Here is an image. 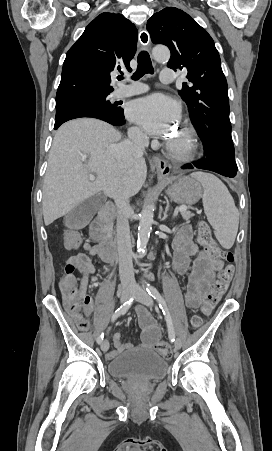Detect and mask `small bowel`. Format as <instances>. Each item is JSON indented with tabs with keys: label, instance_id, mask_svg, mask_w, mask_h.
Masks as SVG:
<instances>
[{
	"label": "small bowel",
	"instance_id": "obj_1",
	"mask_svg": "<svg viewBox=\"0 0 272 451\" xmlns=\"http://www.w3.org/2000/svg\"><path fill=\"white\" fill-rule=\"evenodd\" d=\"M98 252L97 246H91L87 241L82 242L75 256H90ZM209 251L200 248L193 241V230L188 224H182L177 228L176 237L173 241V253L170 256L171 269L180 276L187 277L188 284L184 293V303L189 309L199 306L200 299L208 291L214 278V273L220 270L223 264L220 260H211ZM93 264V263H92ZM94 274H82V284L86 286L89 278ZM65 301V300H64ZM74 319L82 318L75 309H67ZM89 316L91 313H84ZM140 326L142 328V348L154 347L160 339V327L148 315L145 309L140 308L138 312ZM114 349L106 355L108 359H114L120 353L132 347L130 343L122 340L120 333L113 335Z\"/></svg>",
	"mask_w": 272,
	"mask_h": 451
}]
</instances>
